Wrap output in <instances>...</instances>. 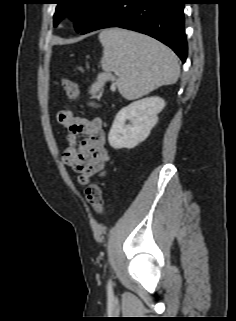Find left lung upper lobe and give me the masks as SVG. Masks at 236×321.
I'll return each instance as SVG.
<instances>
[{"instance_id":"left-lung-upper-lobe-1","label":"left lung upper lobe","mask_w":236,"mask_h":321,"mask_svg":"<svg viewBox=\"0 0 236 321\" xmlns=\"http://www.w3.org/2000/svg\"><path fill=\"white\" fill-rule=\"evenodd\" d=\"M57 8L54 14V25L63 18L71 15L73 17L77 32H81L97 12L108 0H56Z\"/></svg>"}]
</instances>
